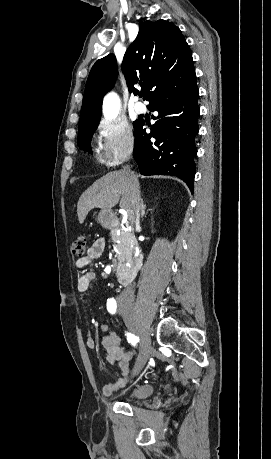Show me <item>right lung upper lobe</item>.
Listing matches in <instances>:
<instances>
[{
    "label": "right lung upper lobe",
    "mask_w": 271,
    "mask_h": 459,
    "mask_svg": "<svg viewBox=\"0 0 271 459\" xmlns=\"http://www.w3.org/2000/svg\"><path fill=\"white\" fill-rule=\"evenodd\" d=\"M193 70L192 54L180 29L162 19L139 24V33L122 62L129 91L138 94L134 84L139 82L147 98L168 81ZM116 75L114 54L95 62L87 79L79 122L101 117L103 96L113 87Z\"/></svg>",
    "instance_id": "cb5924a9"
}]
</instances>
